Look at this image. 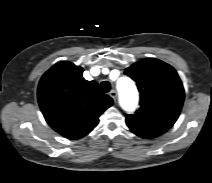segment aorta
Here are the masks:
<instances>
[{
    "label": "aorta",
    "instance_id": "1",
    "mask_svg": "<svg viewBox=\"0 0 212 183\" xmlns=\"http://www.w3.org/2000/svg\"><path fill=\"white\" fill-rule=\"evenodd\" d=\"M117 89L122 106L129 110L134 109L138 102V92L133 81L126 76H121L117 81Z\"/></svg>",
    "mask_w": 212,
    "mask_h": 183
}]
</instances>
